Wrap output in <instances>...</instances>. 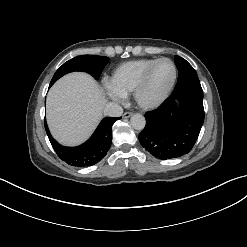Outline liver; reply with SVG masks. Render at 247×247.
<instances>
[{"instance_id":"6515ba94","label":"liver","mask_w":247,"mask_h":247,"mask_svg":"<svg viewBox=\"0 0 247 247\" xmlns=\"http://www.w3.org/2000/svg\"><path fill=\"white\" fill-rule=\"evenodd\" d=\"M105 104L101 88L90 75L74 72L63 76L47 96L46 117L51 134L63 145L81 144L101 120Z\"/></svg>"}]
</instances>
